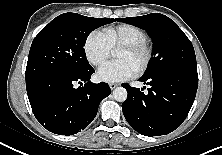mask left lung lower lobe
I'll return each mask as SVG.
<instances>
[{
    "mask_svg": "<svg viewBox=\"0 0 222 155\" xmlns=\"http://www.w3.org/2000/svg\"><path fill=\"white\" fill-rule=\"evenodd\" d=\"M139 81L150 86L147 93L122 84L128 92L122 104L127 122L138 133L149 137L165 135L178 128L194 102L198 75L165 71L143 75Z\"/></svg>",
    "mask_w": 222,
    "mask_h": 155,
    "instance_id": "obj_1",
    "label": "left lung lower lobe"
}]
</instances>
